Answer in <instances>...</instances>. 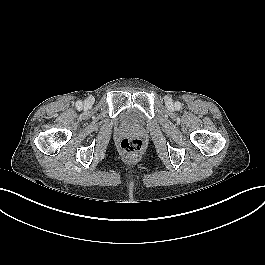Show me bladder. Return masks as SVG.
<instances>
[{"mask_svg": "<svg viewBox=\"0 0 265 265\" xmlns=\"http://www.w3.org/2000/svg\"><path fill=\"white\" fill-rule=\"evenodd\" d=\"M142 118V113L134 107L125 108L120 114L121 121L130 127L139 125Z\"/></svg>", "mask_w": 265, "mask_h": 265, "instance_id": "1", "label": "bladder"}]
</instances>
